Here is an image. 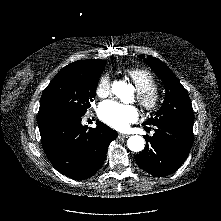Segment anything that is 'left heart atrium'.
I'll return each mask as SVG.
<instances>
[{
    "label": "left heart atrium",
    "instance_id": "obj_1",
    "mask_svg": "<svg viewBox=\"0 0 221 221\" xmlns=\"http://www.w3.org/2000/svg\"><path fill=\"white\" fill-rule=\"evenodd\" d=\"M98 114L101 120L117 130L127 129L129 124L138 118V112L134 106L114 101L102 102L99 106Z\"/></svg>",
    "mask_w": 221,
    "mask_h": 221
}]
</instances>
